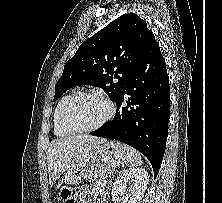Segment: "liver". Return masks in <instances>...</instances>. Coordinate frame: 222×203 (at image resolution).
<instances>
[{"label": "liver", "mask_w": 222, "mask_h": 203, "mask_svg": "<svg viewBox=\"0 0 222 203\" xmlns=\"http://www.w3.org/2000/svg\"><path fill=\"white\" fill-rule=\"evenodd\" d=\"M104 139L77 135L53 140L48 148V173L50 185L68 170L75 162H80L90 150L104 143Z\"/></svg>", "instance_id": "liver-1"}]
</instances>
